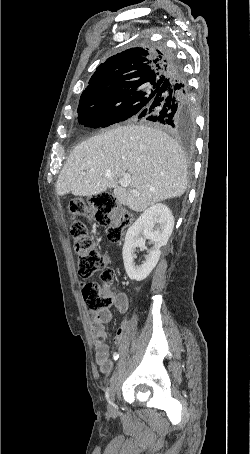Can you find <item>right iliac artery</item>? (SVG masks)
<instances>
[{
    "instance_id": "1",
    "label": "right iliac artery",
    "mask_w": 250,
    "mask_h": 454,
    "mask_svg": "<svg viewBox=\"0 0 250 454\" xmlns=\"http://www.w3.org/2000/svg\"><path fill=\"white\" fill-rule=\"evenodd\" d=\"M113 358H114V360H117L119 358V354L117 352H114Z\"/></svg>"
}]
</instances>
